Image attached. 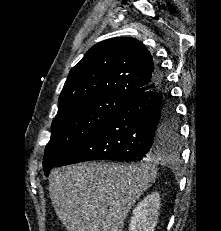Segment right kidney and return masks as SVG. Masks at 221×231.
Segmentation results:
<instances>
[{"label":"right kidney","mask_w":221,"mask_h":231,"mask_svg":"<svg viewBox=\"0 0 221 231\" xmlns=\"http://www.w3.org/2000/svg\"><path fill=\"white\" fill-rule=\"evenodd\" d=\"M160 195L153 192L147 195L133 210L129 231H154L158 222Z\"/></svg>","instance_id":"right-kidney-1"}]
</instances>
